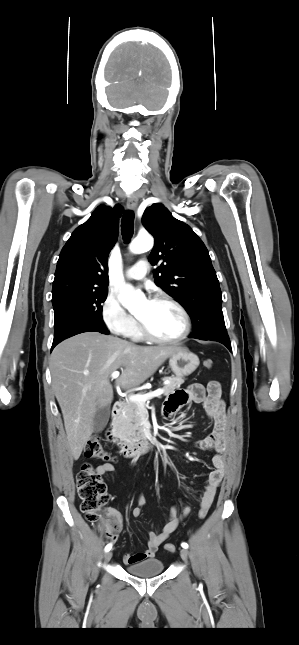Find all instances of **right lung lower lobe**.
Masks as SVG:
<instances>
[{"instance_id":"obj_1","label":"right lung lower lobe","mask_w":299,"mask_h":645,"mask_svg":"<svg viewBox=\"0 0 299 645\" xmlns=\"http://www.w3.org/2000/svg\"><path fill=\"white\" fill-rule=\"evenodd\" d=\"M91 331H94V332H100V333H103V334H108V333H109V332H108V330H107L106 328H105V329H103V328H97V327H93V326H83V327L77 328V329H75V330H73V331H71V332L67 333L66 335H64L63 337H61V338H60V339H58V340H54V341H53V344H52V349H53V348H54V347H55L59 342H61L62 340L66 339V338H68V337H71V336H74V335H76V334H80V333H83V332H91Z\"/></svg>"}]
</instances>
